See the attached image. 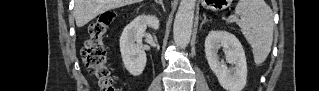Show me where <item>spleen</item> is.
<instances>
[{"mask_svg": "<svg viewBox=\"0 0 319 91\" xmlns=\"http://www.w3.org/2000/svg\"><path fill=\"white\" fill-rule=\"evenodd\" d=\"M236 23L252 47L254 62L261 65L273 43V13L264 0H240L235 8Z\"/></svg>", "mask_w": 319, "mask_h": 91, "instance_id": "3e777b00", "label": "spleen"}]
</instances>
